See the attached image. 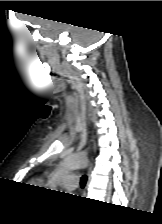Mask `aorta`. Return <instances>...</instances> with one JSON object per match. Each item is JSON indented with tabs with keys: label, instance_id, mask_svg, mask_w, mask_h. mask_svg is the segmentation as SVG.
I'll list each match as a JSON object with an SVG mask.
<instances>
[{
	"label": "aorta",
	"instance_id": "obj_1",
	"mask_svg": "<svg viewBox=\"0 0 162 224\" xmlns=\"http://www.w3.org/2000/svg\"><path fill=\"white\" fill-rule=\"evenodd\" d=\"M88 165V159L82 154H72L64 158L61 163V170L68 172Z\"/></svg>",
	"mask_w": 162,
	"mask_h": 224
}]
</instances>
